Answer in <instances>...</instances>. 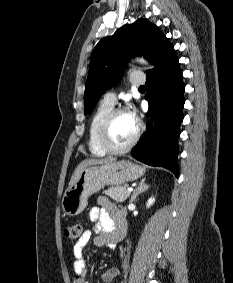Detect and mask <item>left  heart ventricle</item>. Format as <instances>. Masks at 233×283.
Wrapping results in <instances>:
<instances>
[{
	"label": "left heart ventricle",
	"instance_id": "1",
	"mask_svg": "<svg viewBox=\"0 0 233 283\" xmlns=\"http://www.w3.org/2000/svg\"><path fill=\"white\" fill-rule=\"evenodd\" d=\"M135 131L136 121L128 112L121 113L111 125L109 142L114 147H123L132 139Z\"/></svg>",
	"mask_w": 233,
	"mask_h": 283
}]
</instances>
